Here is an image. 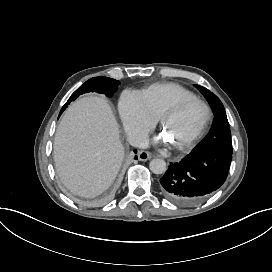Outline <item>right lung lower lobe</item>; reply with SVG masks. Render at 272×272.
<instances>
[{
	"mask_svg": "<svg viewBox=\"0 0 272 272\" xmlns=\"http://www.w3.org/2000/svg\"><path fill=\"white\" fill-rule=\"evenodd\" d=\"M135 151V153L137 152L136 150H134ZM135 159H137V156H135Z\"/></svg>",
	"mask_w": 272,
	"mask_h": 272,
	"instance_id": "obj_1",
	"label": "right lung lower lobe"
}]
</instances>
